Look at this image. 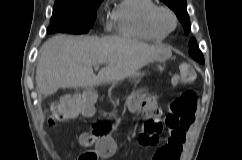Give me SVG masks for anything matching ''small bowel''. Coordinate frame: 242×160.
<instances>
[{"label":"small bowel","mask_w":242,"mask_h":160,"mask_svg":"<svg viewBox=\"0 0 242 160\" xmlns=\"http://www.w3.org/2000/svg\"><path fill=\"white\" fill-rule=\"evenodd\" d=\"M128 107L130 111H137L138 109H140V103L135 102L130 98ZM93 114H94L93 108L88 112L82 113L83 116H92ZM176 130H179L182 134L180 139L174 138L172 136V133ZM169 131H170L169 138L165 141V143L162 146L156 149L151 160H180L183 146L186 141L187 128H178V129L169 128ZM110 132H111V128L105 133H102V135L98 136L96 141L92 143L95 146V150L87 151V152H95L97 154V158L98 156L103 158L114 154L116 150V142L112 137V135L110 134ZM145 146H149V145H145ZM83 154H81L77 158V160H81V157L83 156Z\"/></svg>","instance_id":"1"}]
</instances>
